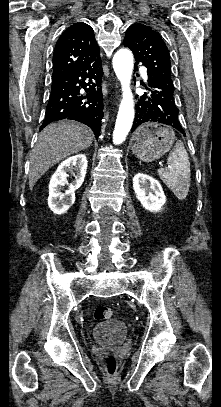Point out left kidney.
I'll list each match as a JSON object with an SVG mask.
<instances>
[{
	"label": "left kidney",
	"instance_id": "5707ae66",
	"mask_svg": "<svg viewBox=\"0 0 221 407\" xmlns=\"http://www.w3.org/2000/svg\"><path fill=\"white\" fill-rule=\"evenodd\" d=\"M133 189L136 198L148 211L158 212L166 202L160 183L147 174L138 173L134 176Z\"/></svg>",
	"mask_w": 221,
	"mask_h": 407
}]
</instances>
